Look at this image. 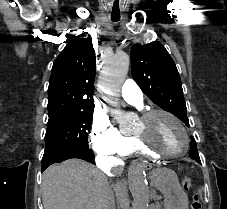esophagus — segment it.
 <instances>
[{
  "mask_svg": "<svg viewBox=\"0 0 227 209\" xmlns=\"http://www.w3.org/2000/svg\"><path fill=\"white\" fill-rule=\"evenodd\" d=\"M150 169H152V164L151 163L143 164V166L141 167L142 171H149Z\"/></svg>",
  "mask_w": 227,
  "mask_h": 209,
  "instance_id": "obj_1",
  "label": "esophagus"
}]
</instances>
